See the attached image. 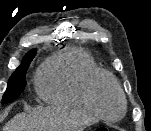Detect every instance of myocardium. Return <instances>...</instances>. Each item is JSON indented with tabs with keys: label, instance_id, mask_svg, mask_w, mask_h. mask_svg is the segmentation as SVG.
Here are the masks:
<instances>
[{
	"label": "myocardium",
	"instance_id": "obj_1",
	"mask_svg": "<svg viewBox=\"0 0 151 131\" xmlns=\"http://www.w3.org/2000/svg\"><path fill=\"white\" fill-rule=\"evenodd\" d=\"M110 85L114 88L116 93L118 94L120 100H121V111L118 116L116 117H110L104 113V111L101 109L100 104H99V94L104 85ZM88 97L89 101L95 110V112L102 118L105 119H119L121 118L127 109V99L126 95L117 81V79L110 74L107 71L100 70L96 72L92 78L90 79L89 85H88Z\"/></svg>",
	"mask_w": 151,
	"mask_h": 131
}]
</instances>
